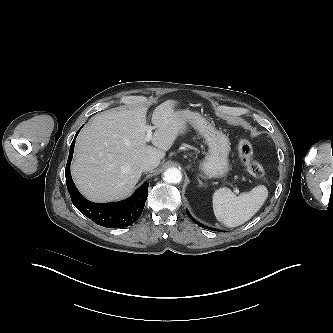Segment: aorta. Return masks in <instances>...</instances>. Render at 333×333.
Instances as JSON below:
<instances>
[{
    "mask_svg": "<svg viewBox=\"0 0 333 333\" xmlns=\"http://www.w3.org/2000/svg\"><path fill=\"white\" fill-rule=\"evenodd\" d=\"M182 174L177 168H169L164 172V180L168 183L181 182Z\"/></svg>",
    "mask_w": 333,
    "mask_h": 333,
    "instance_id": "762f6f07",
    "label": "aorta"
}]
</instances>
